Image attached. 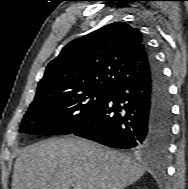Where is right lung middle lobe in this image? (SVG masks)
<instances>
[{
	"label": "right lung middle lobe",
	"instance_id": "right-lung-middle-lobe-1",
	"mask_svg": "<svg viewBox=\"0 0 188 189\" xmlns=\"http://www.w3.org/2000/svg\"><path fill=\"white\" fill-rule=\"evenodd\" d=\"M111 92L88 88L35 96L22 120L21 133L70 134L83 125Z\"/></svg>",
	"mask_w": 188,
	"mask_h": 189
}]
</instances>
